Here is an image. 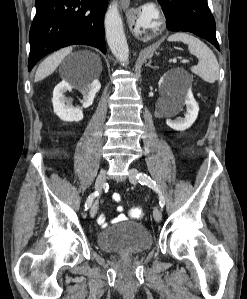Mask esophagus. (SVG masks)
<instances>
[{
    "label": "esophagus",
    "mask_w": 247,
    "mask_h": 299,
    "mask_svg": "<svg viewBox=\"0 0 247 299\" xmlns=\"http://www.w3.org/2000/svg\"><path fill=\"white\" fill-rule=\"evenodd\" d=\"M121 1V3H122V5H124V6H128L129 5V3H130V0H120Z\"/></svg>",
    "instance_id": "34e87169"
}]
</instances>
